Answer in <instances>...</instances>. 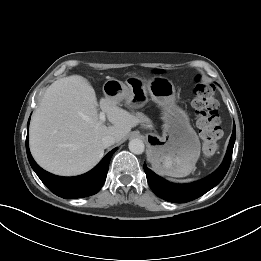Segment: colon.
Masks as SVG:
<instances>
[{
  "label": "colon",
  "instance_id": "5ec220e1",
  "mask_svg": "<svg viewBox=\"0 0 261 261\" xmlns=\"http://www.w3.org/2000/svg\"><path fill=\"white\" fill-rule=\"evenodd\" d=\"M192 106L197 117V126L203 140V153L212 156L217 150V141L222 135L218 102L212 85L198 77L194 86Z\"/></svg>",
  "mask_w": 261,
  "mask_h": 261
}]
</instances>
